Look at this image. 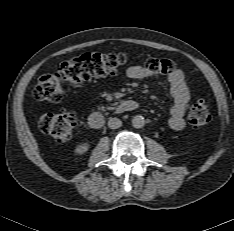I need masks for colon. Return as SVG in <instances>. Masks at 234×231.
<instances>
[{"instance_id":"1","label":"colon","mask_w":234,"mask_h":231,"mask_svg":"<svg viewBox=\"0 0 234 231\" xmlns=\"http://www.w3.org/2000/svg\"><path fill=\"white\" fill-rule=\"evenodd\" d=\"M125 63L126 57L121 53H84L63 62L56 72L41 76L34 88V96L39 100L59 101L68 85H77L94 77L116 74ZM142 64L147 70L159 75H169L175 69L174 64L165 59L147 58ZM209 121L207 103L202 99L197 100L189 112L190 124L202 127ZM76 124L77 115L72 110L45 114L40 119L41 130L59 143L71 138Z\"/></svg>"}]
</instances>
